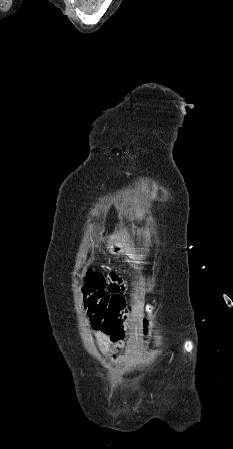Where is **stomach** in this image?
Wrapping results in <instances>:
<instances>
[{
	"label": "stomach",
	"mask_w": 233,
	"mask_h": 449,
	"mask_svg": "<svg viewBox=\"0 0 233 449\" xmlns=\"http://www.w3.org/2000/svg\"><path fill=\"white\" fill-rule=\"evenodd\" d=\"M110 252H111L112 254H120V253H125V252H127V250H126V247H125V244H124V243L115 242V243L111 244V246H110ZM130 257H131L132 261H133L135 264H140V261H139L137 258H135V256H133L132 254H130Z\"/></svg>",
	"instance_id": "0dacf381"
}]
</instances>
